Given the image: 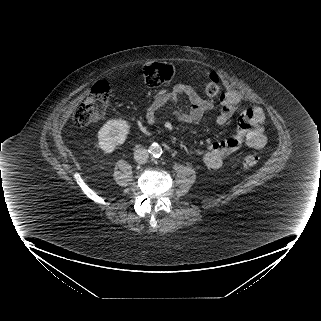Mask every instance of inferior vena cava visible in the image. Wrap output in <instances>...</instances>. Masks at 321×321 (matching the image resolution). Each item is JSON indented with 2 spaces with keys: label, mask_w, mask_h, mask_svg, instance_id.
<instances>
[{
  "label": "inferior vena cava",
  "mask_w": 321,
  "mask_h": 321,
  "mask_svg": "<svg viewBox=\"0 0 321 321\" xmlns=\"http://www.w3.org/2000/svg\"><path fill=\"white\" fill-rule=\"evenodd\" d=\"M149 157L148 150L145 148H139L134 152V159L139 164H144L147 162Z\"/></svg>",
  "instance_id": "1"
}]
</instances>
